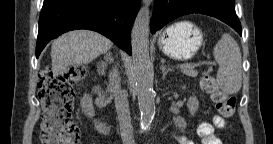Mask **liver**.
Segmentation results:
<instances>
[{
  "mask_svg": "<svg viewBox=\"0 0 273 144\" xmlns=\"http://www.w3.org/2000/svg\"><path fill=\"white\" fill-rule=\"evenodd\" d=\"M112 42L90 30H75L57 38L51 47L54 77L67 71L69 66L86 64L106 53Z\"/></svg>",
  "mask_w": 273,
  "mask_h": 144,
  "instance_id": "1",
  "label": "liver"
}]
</instances>
